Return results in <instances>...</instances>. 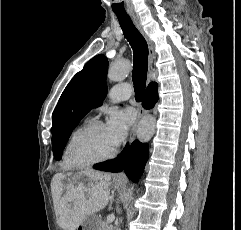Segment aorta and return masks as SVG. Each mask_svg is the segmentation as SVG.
<instances>
[{"label": "aorta", "instance_id": "1", "mask_svg": "<svg viewBox=\"0 0 241 230\" xmlns=\"http://www.w3.org/2000/svg\"><path fill=\"white\" fill-rule=\"evenodd\" d=\"M131 70V63L129 60L123 59V60H118L115 61L109 68L108 70V79L113 81V82H120L124 80L129 72ZM156 128V119L149 115L145 116L139 123L138 129H137V137L138 139L146 143L148 142ZM131 197V189H129L125 194L124 198L126 201H128Z\"/></svg>", "mask_w": 241, "mask_h": 230}]
</instances>
